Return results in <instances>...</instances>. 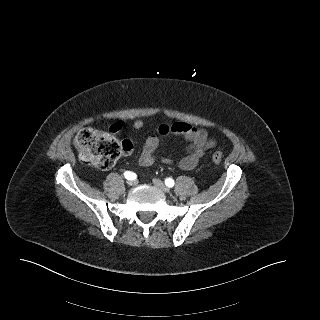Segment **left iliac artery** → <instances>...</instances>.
Returning a JSON list of instances; mask_svg holds the SVG:
<instances>
[{
	"label": "left iliac artery",
	"mask_w": 320,
	"mask_h": 320,
	"mask_svg": "<svg viewBox=\"0 0 320 320\" xmlns=\"http://www.w3.org/2000/svg\"><path fill=\"white\" fill-rule=\"evenodd\" d=\"M165 184H166V186H168V187H173L174 186V180L173 179H171V178H166L165 179Z\"/></svg>",
	"instance_id": "44dca946"
}]
</instances>
